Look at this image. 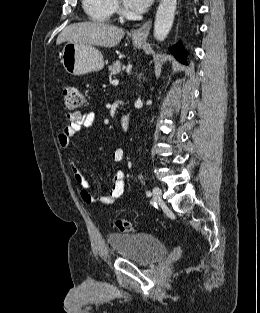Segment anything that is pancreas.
<instances>
[{
  "instance_id": "pancreas-1",
  "label": "pancreas",
  "mask_w": 260,
  "mask_h": 313,
  "mask_svg": "<svg viewBox=\"0 0 260 313\" xmlns=\"http://www.w3.org/2000/svg\"><path fill=\"white\" fill-rule=\"evenodd\" d=\"M123 69H125V65H123L120 61H116L113 65L109 66L110 77L120 73Z\"/></svg>"
}]
</instances>
